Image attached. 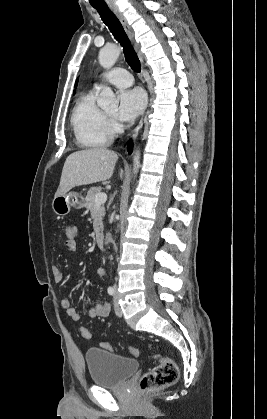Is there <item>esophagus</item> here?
Here are the masks:
<instances>
[{"mask_svg": "<svg viewBox=\"0 0 267 419\" xmlns=\"http://www.w3.org/2000/svg\"><path fill=\"white\" fill-rule=\"evenodd\" d=\"M111 9H112V11L114 12V14L117 16V18L119 19V21L121 22V24H122V26H123V28H124V30H125V32H126V34L128 35V37H129V39H130L131 43L133 44V47H134V49H135V51H136V53H137V55H138L139 60H140V61H141V63H142V66L144 67L145 65H144L143 55H142V53H141V51H140V49H139L138 44H137V43L135 42V40H134V33H133V31H132V29H131L130 25L128 24V22H127L126 18H125V17H124V15L120 12V10L118 9V7H116V6H112V7H111ZM144 121H145V116H144V117H142V119L140 120L139 124H138V125H137V127L134 129V131H133V133H132V135H131L133 138H134V137H136V136L138 135V133L141 131V129H142V127H143V124H144Z\"/></svg>", "mask_w": 267, "mask_h": 419, "instance_id": "obj_1", "label": "esophagus"}]
</instances>
